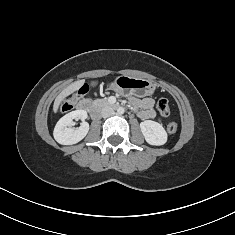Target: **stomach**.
Here are the masks:
<instances>
[{"mask_svg": "<svg viewBox=\"0 0 235 235\" xmlns=\"http://www.w3.org/2000/svg\"><path fill=\"white\" fill-rule=\"evenodd\" d=\"M108 87L123 96L134 95L142 98L151 96L155 92L157 85L146 79L121 75L115 78Z\"/></svg>", "mask_w": 235, "mask_h": 235, "instance_id": "1", "label": "stomach"}]
</instances>
